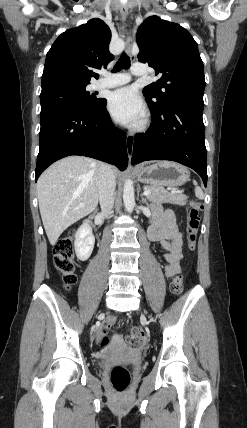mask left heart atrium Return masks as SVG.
<instances>
[{"instance_id":"39dd6f15","label":"left heart atrium","mask_w":247,"mask_h":428,"mask_svg":"<svg viewBox=\"0 0 247 428\" xmlns=\"http://www.w3.org/2000/svg\"><path fill=\"white\" fill-rule=\"evenodd\" d=\"M114 118L126 125L138 126L145 117L144 106L135 90L125 87L114 91L108 103Z\"/></svg>"}]
</instances>
